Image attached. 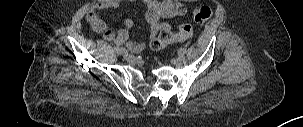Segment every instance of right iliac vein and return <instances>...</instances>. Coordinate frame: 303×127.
Instances as JSON below:
<instances>
[{"label":"right iliac vein","instance_id":"63e3f726","mask_svg":"<svg viewBox=\"0 0 303 127\" xmlns=\"http://www.w3.org/2000/svg\"><path fill=\"white\" fill-rule=\"evenodd\" d=\"M123 57H124L127 61H134V60H135L134 56H133V55H130V54L127 53V52H125V53L123 54Z\"/></svg>","mask_w":303,"mask_h":127}]
</instances>
